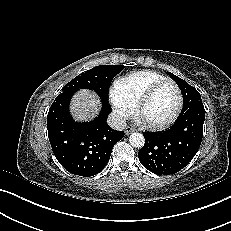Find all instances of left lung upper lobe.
I'll list each match as a JSON object with an SVG mask.
<instances>
[{
  "instance_id": "5c2ea615",
  "label": "left lung upper lobe",
  "mask_w": 231,
  "mask_h": 231,
  "mask_svg": "<svg viewBox=\"0 0 231 231\" xmlns=\"http://www.w3.org/2000/svg\"><path fill=\"white\" fill-rule=\"evenodd\" d=\"M168 74L177 83V85L179 86V88L182 91L183 109H182L180 115H182L183 113L189 111L190 109H192L194 107H204L202 100H201V96H200L199 92L194 87L189 85L183 79L172 74L171 72H168ZM178 121L179 120L177 119L176 122L174 123V125H172L168 129L170 132H173L177 129Z\"/></svg>"
}]
</instances>
